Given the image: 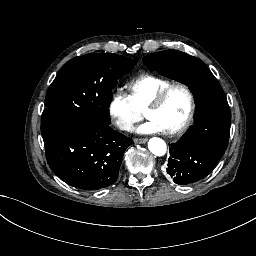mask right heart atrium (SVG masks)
Masks as SVG:
<instances>
[{
  "label": "right heart atrium",
  "mask_w": 256,
  "mask_h": 256,
  "mask_svg": "<svg viewBox=\"0 0 256 256\" xmlns=\"http://www.w3.org/2000/svg\"><path fill=\"white\" fill-rule=\"evenodd\" d=\"M142 118H143V115L139 110H136L131 116V120L134 122H139L142 120Z\"/></svg>",
  "instance_id": "right-heart-atrium-1"
}]
</instances>
